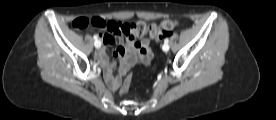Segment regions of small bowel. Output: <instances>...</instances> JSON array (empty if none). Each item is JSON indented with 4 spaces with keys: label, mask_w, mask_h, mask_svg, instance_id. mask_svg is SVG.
Wrapping results in <instances>:
<instances>
[{
    "label": "small bowel",
    "mask_w": 276,
    "mask_h": 120,
    "mask_svg": "<svg viewBox=\"0 0 276 120\" xmlns=\"http://www.w3.org/2000/svg\"><path fill=\"white\" fill-rule=\"evenodd\" d=\"M108 25L103 30L106 33H101L96 35L105 47H109L118 41V47L115 51L116 57L119 58V72L120 74H125L130 66L137 61L141 60L143 63H148L151 59V50L149 47V41L147 39H142L140 41L136 39H128L123 37L122 34V23L107 21ZM96 57L99 63L106 69V81L115 87L116 81L119 80L118 77L113 75L115 65L110 63L103 49L96 53Z\"/></svg>",
    "instance_id": "c3829d8e"
}]
</instances>
